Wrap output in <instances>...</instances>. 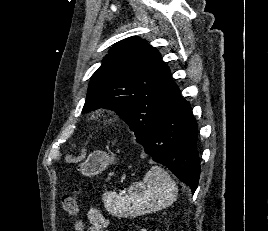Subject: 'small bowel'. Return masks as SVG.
Masks as SVG:
<instances>
[{"label":"small bowel","instance_id":"small-bowel-1","mask_svg":"<svg viewBox=\"0 0 268 231\" xmlns=\"http://www.w3.org/2000/svg\"><path fill=\"white\" fill-rule=\"evenodd\" d=\"M87 216L90 222V227L87 229V231H101L108 224L107 218L95 206H91L89 208ZM78 229L81 230L82 227L78 226Z\"/></svg>","mask_w":268,"mask_h":231}]
</instances>
